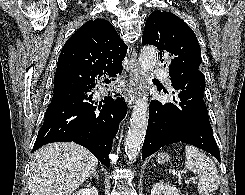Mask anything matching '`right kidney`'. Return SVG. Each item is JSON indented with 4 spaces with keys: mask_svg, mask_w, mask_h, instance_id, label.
I'll use <instances>...</instances> for the list:
<instances>
[{
    "mask_svg": "<svg viewBox=\"0 0 245 195\" xmlns=\"http://www.w3.org/2000/svg\"><path fill=\"white\" fill-rule=\"evenodd\" d=\"M73 195H98V190L95 187H88V188L79 190Z\"/></svg>",
    "mask_w": 245,
    "mask_h": 195,
    "instance_id": "right-kidney-1",
    "label": "right kidney"
}]
</instances>
